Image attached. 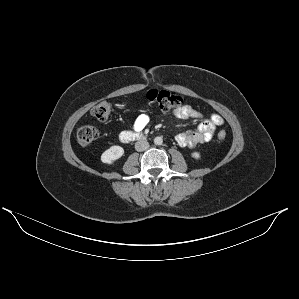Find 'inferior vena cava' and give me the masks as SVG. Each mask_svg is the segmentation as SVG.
Wrapping results in <instances>:
<instances>
[{"instance_id": "602c4592", "label": "inferior vena cava", "mask_w": 299, "mask_h": 299, "mask_svg": "<svg viewBox=\"0 0 299 299\" xmlns=\"http://www.w3.org/2000/svg\"><path fill=\"white\" fill-rule=\"evenodd\" d=\"M149 148V143L146 140H140L135 143V149L138 152L145 151Z\"/></svg>"}]
</instances>
